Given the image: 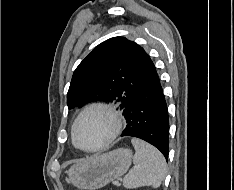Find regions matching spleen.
Returning <instances> with one entry per match:
<instances>
[{
  "label": "spleen",
  "mask_w": 234,
  "mask_h": 190,
  "mask_svg": "<svg viewBox=\"0 0 234 190\" xmlns=\"http://www.w3.org/2000/svg\"><path fill=\"white\" fill-rule=\"evenodd\" d=\"M131 142L135 148L134 167L124 177L123 186L127 189L159 187L166 176L167 165L164 156L158 149L141 139L133 138Z\"/></svg>",
  "instance_id": "3e777b00"
}]
</instances>
